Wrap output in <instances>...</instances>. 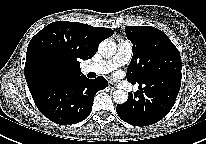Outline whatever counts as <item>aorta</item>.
<instances>
[{"instance_id":"762f6f07","label":"aorta","mask_w":206,"mask_h":144,"mask_svg":"<svg viewBox=\"0 0 206 144\" xmlns=\"http://www.w3.org/2000/svg\"><path fill=\"white\" fill-rule=\"evenodd\" d=\"M117 47L114 41L111 39H105L103 40L98 47L99 53L103 57H112L116 53ZM128 99V94L121 89L115 90L113 92V100L117 104H123L127 101Z\"/></svg>"}]
</instances>
